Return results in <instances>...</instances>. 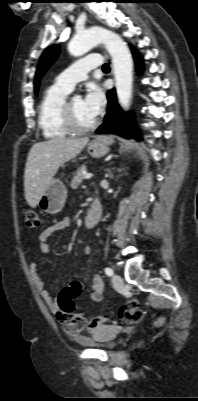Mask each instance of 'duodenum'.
<instances>
[{"instance_id":"obj_1","label":"duodenum","mask_w":198,"mask_h":401,"mask_svg":"<svg viewBox=\"0 0 198 401\" xmlns=\"http://www.w3.org/2000/svg\"><path fill=\"white\" fill-rule=\"evenodd\" d=\"M101 216H102L101 202L98 198L94 197L92 200V206L90 212L84 221L85 226L89 229L95 227L99 222Z\"/></svg>"}]
</instances>
